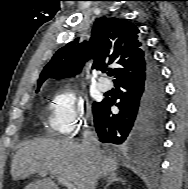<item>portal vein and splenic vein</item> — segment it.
I'll return each mask as SVG.
<instances>
[{
    "label": "portal vein and splenic vein",
    "mask_w": 188,
    "mask_h": 189,
    "mask_svg": "<svg viewBox=\"0 0 188 189\" xmlns=\"http://www.w3.org/2000/svg\"><path fill=\"white\" fill-rule=\"evenodd\" d=\"M47 173L45 171L40 172L41 176H45ZM57 180L59 183H61L63 186H65L67 189H77L75 184L66 181L65 179L61 177H57Z\"/></svg>",
    "instance_id": "portal-vein-and-splenic-vein-1"
}]
</instances>
